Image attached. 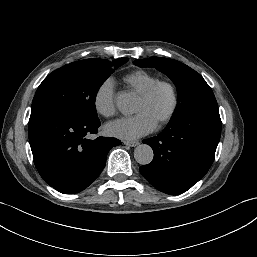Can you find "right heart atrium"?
Listing matches in <instances>:
<instances>
[{"instance_id":"right-heart-atrium-1","label":"right heart atrium","mask_w":257,"mask_h":257,"mask_svg":"<svg viewBox=\"0 0 257 257\" xmlns=\"http://www.w3.org/2000/svg\"><path fill=\"white\" fill-rule=\"evenodd\" d=\"M93 105L96 112L103 117H112L116 113L115 91L110 80H106L98 86L94 93Z\"/></svg>"}]
</instances>
